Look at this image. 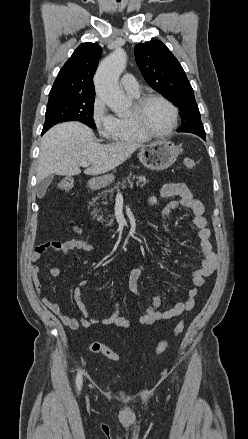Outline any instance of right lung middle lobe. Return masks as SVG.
I'll use <instances>...</instances> for the list:
<instances>
[{
	"label": "right lung middle lobe",
	"mask_w": 248,
	"mask_h": 439,
	"mask_svg": "<svg viewBox=\"0 0 248 439\" xmlns=\"http://www.w3.org/2000/svg\"><path fill=\"white\" fill-rule=\"evenodd\" d=\"M95 95L63 94L50 96L45 113L43 130L65 121H79L91 128H96L93 120Z\"/></svg>",
	"instance_id": "right-lung-middle-lobe-1"
}]
</instances>
